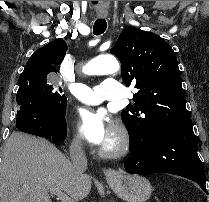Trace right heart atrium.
<instances>
[{
  "mask_svg": "<svg viewBox=\"0 0 209 202\" xmlns=\"http://www.w3.org/2000/svg\"><path fill=\"white\" fill-rule=\"evenodd\" d=\"M70 143L73 148H79L83 142L78 133H73L70 139ZM65 169L70 174H77V171L70 165H66Z\"/></svg>",
  "mask_w": 209,
  "mask_h": 202,
  "instance_id": "d8ad5b80",
  "label": "right heart atrium"
}]
</instances>
